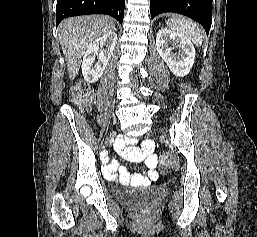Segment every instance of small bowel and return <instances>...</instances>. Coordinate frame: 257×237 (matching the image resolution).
<instances>
[{"label":"small bowel","mask_w":257,"mask_h":237,"mask_svg":"<svg viewBox=\"0 0 257 237\" xmlns=\"http://www.w3.org/2000/svg\"><path fill=\"white\" fill-rule=\"evenodd\" d=\"M129 142H137V139H129ZM117 150L125 157L133 161H144L146 168L142 174L132 175L124 167H118L116 161H109L103 167V173L111 181L122 184L145 183L156 178L157 157L153 153L154 143L151 140L142 142L140 148H124L123 142L117 145Z\"/></svg>","instance_id":"obj_1"}]
</instances>
